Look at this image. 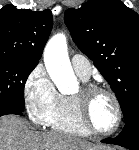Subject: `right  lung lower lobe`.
Masks as SVG:
<instances>
[{"label":"right lung lower lobe","instance_id":"obj_1","mask_svg":"<svg viewBox=\"0 0 139 150\" xmlns=\"http://www.w3.org/2000/svg\"><path fill=\"white\" fill-rule=\"evenodd\" d=\"M7 114L23 115V111L10 105H0V116Z\"/></svg>","mask_w":139,"mask_h":150}]
</instances>
